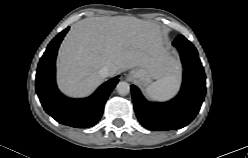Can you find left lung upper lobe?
Masks as SVG:
<instances>
[{"label":"left lung upper lobe","mask_w":248,"mask_h":158,"mask_svg":"<svg viewBox=\"0 0 248 158\" xmlns=\"http://www.w3.org/2000/svg\"><path fill=\"white\" fill-rule=\"evenodd\" d=\"M178 38H179V39H184L185 37L182 36V35H179Z\"/></svg>","instance_id":"left-lung-upper-lobe-1"}]
</instances>
